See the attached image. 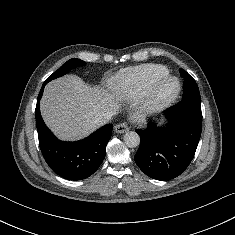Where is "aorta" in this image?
Here are the masks:
<instances>
[{"label":"aorta","mask_w":235,"mask_h":235,"mask_svg":"<svg viewBox=\"0 0 235 235\" xmlns=\"http://www.w3.org/2000/svg\"><path fill=\"white\" fill-rule=\"evenodd\" d=\"M124 142L126 146L130 148H135L140 144V136L134 131L127 132L124 135Z\"/></svg>","instance_id":"obj_1"}]
</instances>
